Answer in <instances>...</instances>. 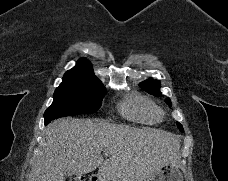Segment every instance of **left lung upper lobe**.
<instances>
[{
    "instance_id": "5c2ea615",
    "label": "left lung upper lobe",
    "mask_w": 228,
    "mask_h": 181,
    "mask_svg": "<svg viewBox=\"0 0 228 181\" xmlns=\"http://www.w3.org/2000/svg\"><path fill=\"white\" fill-rule=\"evenodd\" d=\"M139 85L141 86V88L143 90H145L146 92H148L150 94H153V95H156V96L161 95V92L159 91L160 82L157 81V80L148 79V80L140 83ZM165 101L169 104V106L171 105V102H170L169 98H167ZM177 126H178V128H179V130L181 132H184L183 127H182V125L180 123L177 122Z\"/></svg>"
}]
</instances>
